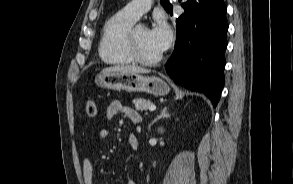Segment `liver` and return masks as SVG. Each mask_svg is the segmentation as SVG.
Segmentation results:
<instances>
[{"label":"liver","mask_w":293,"mask_h":184,"mask_svg":"<svg viewBox=\"0 0 293 184\" xmlns=\"http://www.w3.org/2000/svg\"><path fill=\"white\" fill-rule=\"evenodd\" d=\"M103 72H122V73H149L150 70L144 69L135 65H126V66H112L105 68Z\"/></svg>","instance_id":"6515ba94"}]
</instances>
